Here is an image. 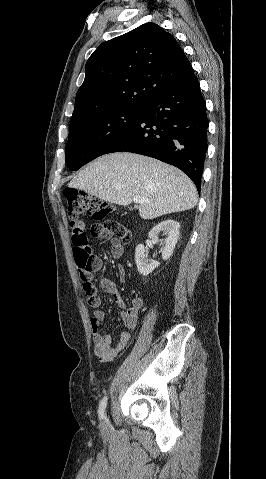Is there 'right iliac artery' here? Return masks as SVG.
I'll return each instance as SVG.
<instances>
[{
  "label": "right iliac artery",
  "mask_w": 266,
  "mask_h": 479,
  "mask_svg": "<svg viewBox=\"0 0 266 479\" xmlns=\"http://www.w3.org/2000/svg\"><path fill=\"white\" fill-rule=\"evenodd\" d=\"M106 404H107V396H105L100 404H99V410H98V413H99V418L100 419H103L105 418V408H106Z\"/></svg>",
  "instance_id": "1"
}]
</instances>
